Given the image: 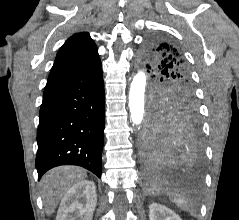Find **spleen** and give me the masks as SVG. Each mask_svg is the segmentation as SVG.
I'll return each instance as SVG.
<instances>
[{
    "label": "spleen",
    "instance_id": "1",
    "mask_svg": "<svg viewBox=\"0 0 239 220\" xmlns=\"http://www.w3.org/2000/svg\"><path fill=\"white\" fill-rule=\"evenodd\" d=\"M172 201L181 209L184 210H188V203L187 201L182 198V197H178V198H173Z\"/></svg>",
    "mask_w": 239,
    "mask_h": 220
}]
</instances>
